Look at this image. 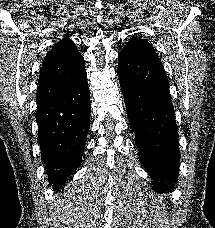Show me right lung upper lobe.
<instances>
[{"label":"right lung upper lobe","mask_w":215,"mask_h":228,"mask_svg":"<svg viewBox=\"0 0 215 228\" xmlns=\"http://www.w3.org/2000/svg\"><path fill=\"white\" fill-rule=\"evenodd\" d=\"M86 75L84 59L69 38L56 43L42 62L37 106L61 95L70 81Z\"/></svg>","instance_id":"1"}]
</instances>
